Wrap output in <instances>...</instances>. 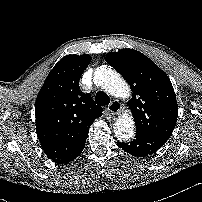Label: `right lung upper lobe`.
Listing matches in <instances>:
<instances>
[{"label": "right lung upper lobe", "instance_id": "obj_1", "mask_svg": "<svg viewBox=\"0 0 202 202\" xmlns=\"http://www.w3.org/2000/svg\"><path fill=\"white\" fill-rule=\"evenodd\" d=\"M90 62L88 54L63 57L50 71L37 96V136L42 149L55 163H61L78 149L95 118L102 115V108L78 86Z\"/></svg>", "mask_w": 202, "mask_h": 202}]
</instances>
